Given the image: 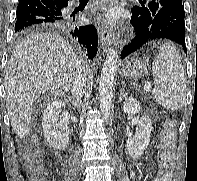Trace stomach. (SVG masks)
<instances>
[{"mask_svg":"<svg viewBox=\"0 0 197 181\" xmlns=\"http://www.w3.org/2000/svg\"><path fill=\"white\" fill-rule=\"evenodd\" d=\"M148 73V64L141 59L132 57L126 60L121 68V75L125 79L138 80Z\"/></svg>","mask_w":197,"mask_h":181,"instance_id":"1","label":"stomach"}]
</instances>
